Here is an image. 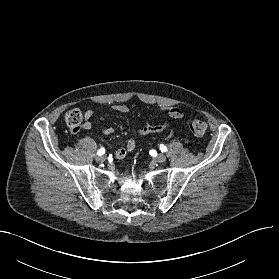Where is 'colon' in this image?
I'll return each instance as SVG.
<instances>
[{
	"label": "colon",
	"mask_w": 279,
	"mask_h": 279,
	"mask_svg": "<svg viewBox=\"0 0 279 279\" xmlns=\"http://www.w3.org/2000/svg\"><path fill=\"white\" fill-rule=\"evenodd\" d=\"M83 116L80 110L72 109L65 113L64 121L72 133H77L81 127ZM191 132L198 138H203L207 131V125L199 119H192L189 122Z\"/></svg>",
	"instance_id": "5ec220e1"
}]
</instances>
